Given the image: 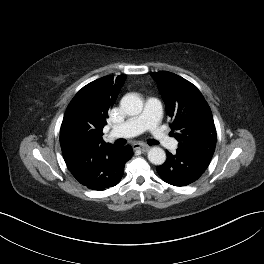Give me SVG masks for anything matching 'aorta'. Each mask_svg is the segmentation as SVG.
<instances>
[{
  "mask_svg": "<svg viewBox=\"0 0 264 264\" xmlns=\"http://www.w3.org/2000/svg\"><path fill=\"white\" fill-rule=\"evenodd\" d=\"M122 109L130 116L138 115L142 112L143 102L133 93L126 94L120 101ZM148 160L155 165H162L166 160V153L159 147H153L148 151Z\"/></svg>",
  "mask_w": 264,
  "mask_h": 264,
  "instance_id": "obj_1",
  "label": "aorta"
}]
</instances>
